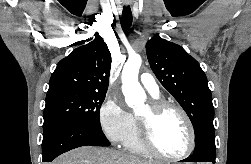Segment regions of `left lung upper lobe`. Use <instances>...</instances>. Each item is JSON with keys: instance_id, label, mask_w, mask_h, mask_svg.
Instances as JSON below:
<instances>
[{"instance_id": "5c2ea615", "label": "left lung upper lobe", "mask_w": 251, "mask_h": 164, "mask_svg": "<svg viewBox=\"0 0 251 164\" xmlns=\"http://www.w3.org/2000/svg\"><path fill=\"white\" fill-rule=\"evenodd\" d=\"M146 53L158 80L189 116L195 131V144L208 139L215 146L212 95L199 63L181 46L158 35L147 42Z\"/></svg>"}]
</instances>
